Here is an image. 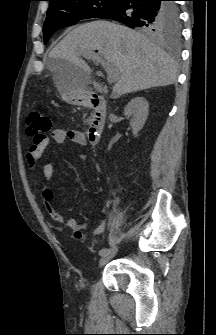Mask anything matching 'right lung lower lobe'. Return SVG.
<instances>
[{
    "mask_svg": "<svg viewBox=\"0 0 216 335\" xmlns=\"http://www.w3.org/2000/svg\"><path fill=\"white\" fill-rule=\"evenodd\" d=\"M101 18L119 21L130 28L158 33L179 20V14L173 1L119 0L115 7Z\"/></svg>",
    "mask_w": 216,
    "mask_h": 335,
    "instance_id": "1",
    "label": "right lung lower lobe"
}]
</instances>
